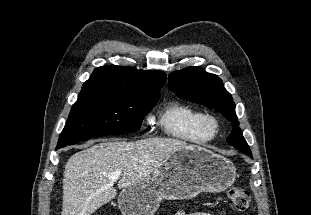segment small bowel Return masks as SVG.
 <instances>
[{"mask_svg": "<svg viewBox=\"0 0 311 215\" xmlns=\"http://www.w3.org/2000/svg\"><path fill=\"white\" fill-rule=\"evenodd\" d=\"M176 215H212L208 212L205 211H196V212H192V213H185L182 210H179ZM219 215H226L225 212H221Z\"/></svg>", "mask_w": 311, "mask_h": 215, "instance_id": "1", "label": "small bowel"}]
</instances>
